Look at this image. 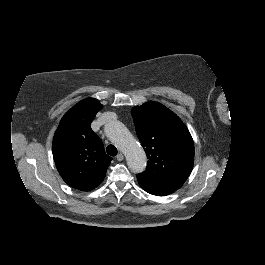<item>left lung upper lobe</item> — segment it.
<instances>
[{"instance_id":"left-lung-upper-lobe-1","label":"left lung upper lobe","mask_w":265,"mask_h":265,"mask_svg":"<svg viewBox=\"0 0 265 265\" xmlns=\"http://www.w3.org/2000/svg\"><path fill=\"white\" fill-rule=\"evenodd\" d=\"M131 114L149 159L146 170L137 179L179 189L194 163V143L187 127L175 113L157 102L136 106Z\"/></svg>"}]
</instances>
